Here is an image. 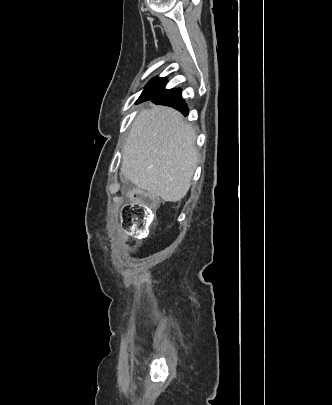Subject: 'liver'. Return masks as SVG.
Segmentation results:
<instances>
[{
    "mask_svg": "<svg viewBox=\"0 0 332 405\" xmlns=\"http://www.w3.org/2000/svg\"><path fill=\"white\" fill-rule=\"evenodd\" d=\"M196 135L170 107L142 109L126 139L121 171L134 185L166 202L181 200L197 167Z\"/></svg>",
    "mask_w": 332,
    "mask_h": 405,
    "instance_id": "6515ba94",
    "label": "liver"
}]
</instances>
